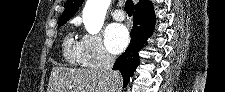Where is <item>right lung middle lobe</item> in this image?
Returning <instances> with one entry per match:
<instances>
[{
  "label": "right lung middle lobe",
  "instance_id": "dd1d6c3e",
  "mask_svg": "<svg viewBox=\"0 0 225 92\" xmlns=\"http://www.w3.org/2000/svg\"><path fill=\"white\" fill-rule=\"evenodd\" d=\"M66 22H67V20L59 21L58 26H61V25L65 24Z\"/></svg>",
  "mask_w": 225,
  "mask_h": 92
}]
</instances>
